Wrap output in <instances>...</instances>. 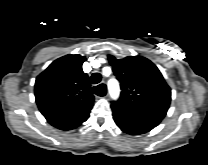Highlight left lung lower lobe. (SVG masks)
<instances>
[{
  "label": "left lung lower lobe",
  "instance_id": "obj_1",
  "mask_svg": "<svg viewBox=\"0 0 208 165\" xmlns=\"http://www.w3.org/2000/svg\"><path fill=\"white\" fill-rule=\"evenodd\" d=\"M117 126L127 134L140 135L149 132L154 126L127 120L121 116L113 114Z\"/></svg>",
  "mask_w": 208,
  "mask_h": 165
}]
</instances>
